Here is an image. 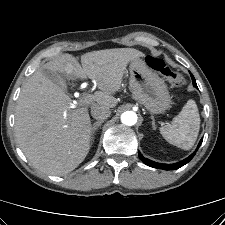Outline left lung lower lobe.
<instances>
[{
    "instance_id": "1",
    "label": "left lung lower lobe",
    "mask_w": 225,
    "mask_h": 225,
    "mask_svg": "<svg viewBox=\"0 0 225 225\" xmlns=\"http://www.w3.org/2000/svg\"><path fill=\"white\" fill-rule=\"evenodd\" d=\"M190 75H191V78H192V81H193V85L195 87H197L195 78L193 77V75L191 73H190ZM202 141H203V139H201V141L199 142L196 151L200 147ZM196 151L193 152L186 159H184V160H182L180 162L174 163V164H161V163H157V162H154V161H151V160H148V159L144 158L140 153H139V157H140V159H141V161L143 163H145L146 165H148L150 167L157 168V169H163V170H176V169L182 167L183 165L187 164L194 157V155L196 154Z\"/></svg>"
}]
</instances>
